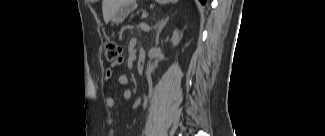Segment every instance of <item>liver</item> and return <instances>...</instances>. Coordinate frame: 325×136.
<instances>
[{"label": "liver", "instance_id": "liver-1", "mask_svg": "<svg viewBox=\"0 0 325 136\" xmlns=\"http://www.w3.org/2000/svg\"><path fill=\"white\" fill-rule=\"evenodd\" d=\"M124 3L125 0H103L102 1L103 18L106 24L111 20V17L115 13V11L118 10L120 6L123 5Z\"/></svg>", "mask_w": 325, "mask_h": 136}]
</instances>
